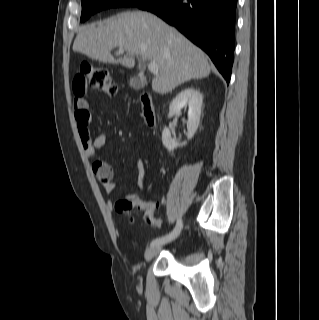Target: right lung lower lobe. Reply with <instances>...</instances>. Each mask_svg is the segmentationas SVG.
Segmentation results:
<instances>
[{
    "label": "right lung lower lobe",
    "instance_id": "obj_1",
    "mask_svg": "<svg viewBox=\"0 0 319 320\" xmlns=\"http://www.w3.org/2000/svg\"><path fill=\"white\" fill-rule=\"evenodd\" d=\"M237 0H152L137 6L175 26L212 59L230 81Z\"/></svg>",
    "mask_w": 319,
    "mask_h": 320
}]
</instances>
